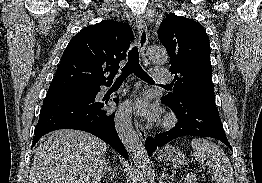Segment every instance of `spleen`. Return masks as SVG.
Instances as JSON below:
<instances>
[{
    "instance_id": "spleen-1",
    "label": "spleen",
    "mask_w": 262,
    "mask_h": 183,
    "mask_svg": "<svg viewBox=\"0 0 262 183\" xmlns=\"http://www.w3.org/2000/svg\"><path fill=\"white\" fill-rule=\"evenodd\" d=\"M191 147L195 159L204 166L213 169L212 180L215 183H234L231 163L223 150L207 139H193Z\"/></svg>"
}]
</instances>
